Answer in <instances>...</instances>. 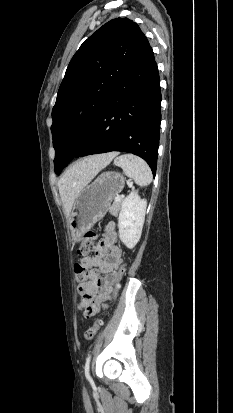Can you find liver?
Instances as JSON below:
<instances>
[{"mask_svg":"<svg viewBox=\"0 0 233 413\" xmlns=\"http://www.w3.org/2000/svg\"><path fill=\"white\" fill-rule=\"evenodd\" d=\"M117 154V152H111L85 158L74 164L73 167L69 168L61 176L58 181V188L67 218L70 216L73 204L82 189L99 171L105 168Z\"/></svg>","mask_w":233,"mask_h":413,"instance_id":"liver-1","label":"liver"}]
</instances>
